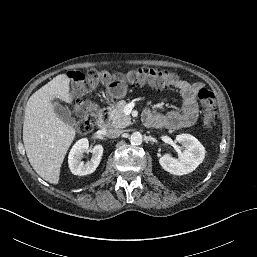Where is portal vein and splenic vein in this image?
I'll list each match as a JSON object with an SVG mask.
<instances>
[{
  "mask_svg": "<svg viewBox=\"0 0 257 257\" xmlns=\"http://www.w3.org/2000/svg\"><path fill=\"white\" fill-rule=\"evenodd\" d=\"M125 110H131V106L130 105H127L125 108H124V111Z\"/></svg>",
  "mask_w": 257,
  "mask_h": 257,
  "instance_id": "18ae733b",
  "label": "portal vein and splenic vein"
}]
</instances>
